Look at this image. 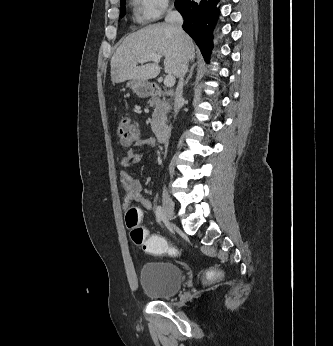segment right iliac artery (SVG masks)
Masks as SVG:
<instances>
[{
	"mask_svg": "<svg viewBox=\"0 0 333 346\" xmlns=\"http://www.w3.org/2000/svg\"><path fill=\"white\" fill-rule=\"evenodd\" d=\"M155 213H156V220L158 223H160L164 219V213H163L162 207L157 206Z\"/></svg>",
	"mask_w": 333,
	"mask_h": 346,
	"instance_id": "82829eb1",
	"label": "right iliac artery"
}]
</instances>
